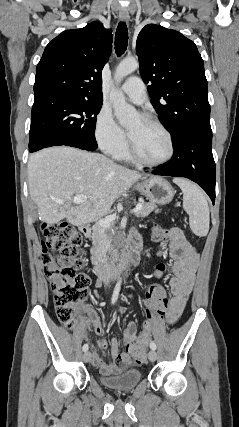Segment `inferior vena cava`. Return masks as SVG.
I'll list each match as a JSON object with an SVG mask.
<instances>
[{
	"instance_id": "obj_1",
	"label": "inferior vena cava",
	"mask_w": 239,
	"mask_h": 427,
	"mask_svg": "<svg viewBox=\"0 0 239 427\" xmlns=\"http://www.w3.org/2000/svg\"><path fill=\"white\" fill-rule=\"evenodd\" d=\"M111 269H112L111 265H110V264H108V265L106 266L107 278H110V275H111Z\"/></svg>"
}]
</instances>
